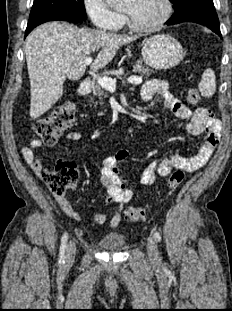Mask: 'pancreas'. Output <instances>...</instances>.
<instances>
[{"instance_id":"pancreas-1","label":"pancreas","mask_w":232,"mask_h":311,"mask_svg":"<svg viewBox=\"0 0 232 311\" xmlns=\"http://www.w3.org/2000/svg\"><path fill=\"white\" fill-rule=\"evenodd\" d=\"M133 71L143 74L145 77H149L151 73L153 72L150 68L142 66V63L139 61L136 63V65L133 67ZM92 91H93V97H90L91 101L94 103V97H98V99L101 101L103 98L107 97V93L105 89L99 84V83H92ZM101 116L102 113H99Z\"/></svg>"}]
</instances>
